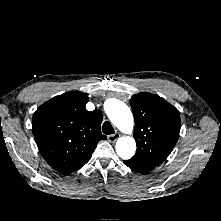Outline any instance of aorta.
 <instances>
[{
  "instance_id": "1",
  "label": "aorta",
  "mask_w": 221,
  "mask_h": 221,
  "mask_svg": "<svg viewBox=\"0 0 221 221\" xmlns=\"http://www.w3.org/2000/svg\"><path fill=\"white\" fill-rule=\"evenodd\" d=\"M112 123L123 133L131 134L134 119L129 107L122 101L113 99L106 109ZM136 151V143L132 136L120 137L116 142V152L124 160L130 159Z\"/></svg>"
}]
</instances>
